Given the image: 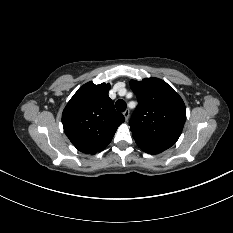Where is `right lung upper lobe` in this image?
Here are the masks:
<instances>
[{"label": "right lung upper lobe", "instance_id": "cb5924a9", "mask_svg": "<svg viewBox=\"0 0 233 233\" xmlns=\"http://www.w3.org/2000/svg\"><path fill=\"white\" fill-rule=\"evenodd\" d=\"M110 84L83 85L70 99L62 114L64 131L81 152L95 154L112 140L117 128L125 121L114 109L108 96Z\"/></svg>", "mask_w": 233, "mask_h": 233}]
</instances>
